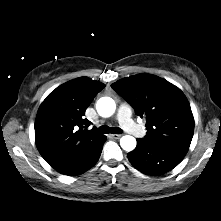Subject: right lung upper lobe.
Listing matches in <instances>:
<instances>
[{
    "mask_svg": "<svg viewBox=\"0 0 221 221\" xmlns=\"http://www.w3.org/2000/svg\"><path fill=\"white\" fill-rule=\"evenodd\" d=\"M105 87L99 81L80 77L50 93L39 107L35 120L36 146L41 156L58 172L69 175L90 160L106 136L90 125L85 111Z\"/></svg>",
    "mask_w": 221,
    "mask_h": 221,
    "instance_id": "right-lung-upper-lobe-1",
    "label": "right lung upper lobe"
}]
</instances>
